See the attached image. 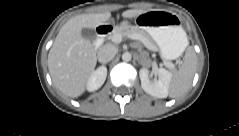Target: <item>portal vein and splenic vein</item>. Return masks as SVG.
<instances>
[{
	"label": "portal vein and splenic vein",
	"instance_id": "portal-vein-and-splenic-vein-1",
	"mask_svg": "<svg viewBox=\"0 0 239 136\" xmlns=\"http://www.w3.org/2000/svg\"><path fill=\"white\" fill-rule=\"evenodd\" d=\"M128 37L131 38V39L140 40L141 42L144 43V45H145L146 47H148L149 49H151V47L149 46V44L147 43V41H146L144 38H142V37H140V36H137V35H132V34H131V35H128ZM111 40H112L113 43L118 44V43H120V42L122 41V36H121L120 34H116V35H114V36L112 37ZM164 65L167 66V67H169V68H172V67H173V64L170 63V62H164Z\"/></svg>",
	"mask_w": 239,
	"mask_h": 136
}]
</instances>
